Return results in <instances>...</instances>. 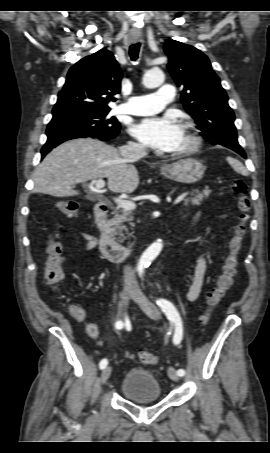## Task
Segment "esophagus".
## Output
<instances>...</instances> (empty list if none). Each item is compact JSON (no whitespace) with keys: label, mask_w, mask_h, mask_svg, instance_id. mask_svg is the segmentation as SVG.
Wrapping results in <instances>:
<instances>
[{"label":"esophagus","mask_w":270,"mask_h":453,"mask_svg":"<svg viewBox=\"0 0 270 453\" xmlns=\"http://www.w3.org/2000/svg\"><path fill=\"white\" fill-rule=\"evenodd\" d=\"M139 40H140V38H135V39H134V41H139Z\"/></svg>","instance_id":"1"}]
</instances>
